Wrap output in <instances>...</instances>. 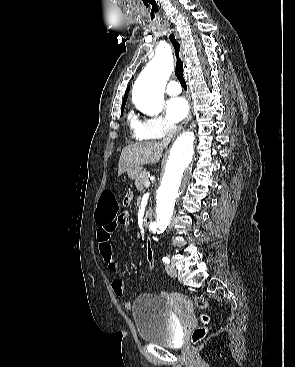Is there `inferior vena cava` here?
Listing matches in <instances>:
<instances>
[{"mask_svg": "<svg viewBox=\"0 0 295 367\" xmlns=\"http://www.w3.org/2000/svg\"><path fill=\"white\" fill-rule=\"evenodd\" d=\"M175 133H176V126L172 124L168 125L165 130V137L163 138L162 143L164 145L169 144Z\"/></svg>", "mask_w": 295, "mask_h": 367, "instance_id": "inferior-vena-cava-1", "label": "inferior vena cava"}]
</instances>
